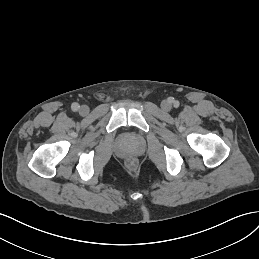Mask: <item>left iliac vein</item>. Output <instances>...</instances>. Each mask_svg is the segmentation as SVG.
I'll list each match as a JSON object with an SVG mask.
<instances>
[{
  "label": "left iliac vein",
  "instance_id": "left-iliac-vein-1",
  "mask_svg": "<svg viewBox=\"0 0 259 259\" xmlns=\"http://www.w3.org/2000/svg\"><path fill=\"white\" fill-rule=\"evenodd\" d=\"M161 107H162L163 110L169 111L172 106H171V103H170L169 101L164 100V101H162V103H161Z\"/></svg>",
  "mask_w": 259,
  "mask_h": 259
}]
</instances>
